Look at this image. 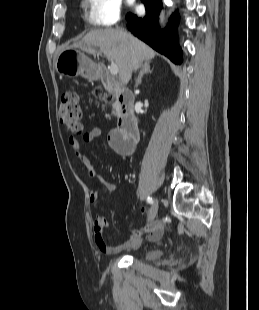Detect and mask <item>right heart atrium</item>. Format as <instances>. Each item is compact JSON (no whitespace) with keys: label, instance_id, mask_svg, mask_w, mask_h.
Returning <instances> with one entry per match:
<instances>
[{"label":"right heart atrium","instance_id":"obj_1","mask_svg":"<svg viewBox=\"0 0 259 310\" xmlns=\"http://www.w3.org/2000/svg\"><path fill=\"white\" fill-rule=\"evenodd\" d=\"M85 16L98 27L115 25L121 18V0H84Z\"/></svg>","mask_w":259,"mask_h":310}]
</instances>
